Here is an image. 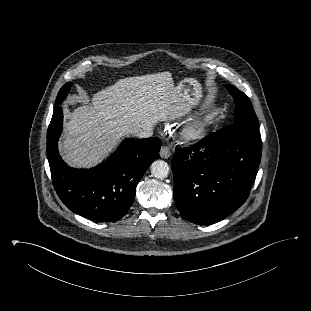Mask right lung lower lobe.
<instances>
[{"label":"right lung lower lobe","instance_id":"98d812e1","mask_svg":"<svg viewBox=\"0 0 311 311\" xmlns=\"http://www.w3.org/2000/svg\"><path fill=\"white\" fill-rule=\"evenodd\" d=\"M63 113L55 107L47 131L52 182L62 202L74 213L97 222L121 219L132 205L136 185L158 157L160 139H125L102 164L91 169L67 166L58 152Z\"/></svg>","mask_w":311,"mask_h":311}]
</instances>
